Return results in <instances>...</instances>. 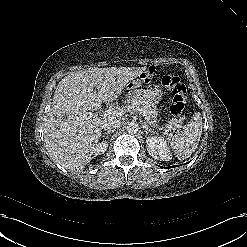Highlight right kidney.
I'll use <instances>...</instances> for the list:
<instances>
[{
  "instance_id": "right-kidney-1",
  "label": "right kidney",
  "mask_w": 247,
  "mask_h": 247,
  "mask_svg": "<svg viewBox=\"0 0 247 247\" xmlns=\"http://www.w3.org/2000/svg\"><path fill=\"white\" fill-rule=\"evenodd\" d=\"M108 147V143L106 141H103L99 144H96V146L94 147L93 151H92V156H98L103 154Z\"/></svg>"
}]
</instances>
